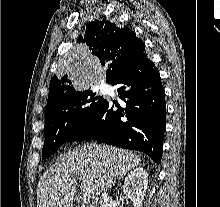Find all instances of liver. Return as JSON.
Instances as JSON below:
<instances>
[{
  "instance_id": "1",
  "label": "liver",
  "mask_w": 220,
  "mask_h": 207,
  "mask_svg": "<svg viewBox=\"0 0 220 207\" xmlns=\"http://www.w3.org/2000/svg\"><path fill=\"white\" fill-rule=\"evenodd\" d=\"M135 153L97 143L83 144L64 154L40 177L37 207H73L78 182L81 191L97 197L105 180L115 183L140 164Z\"/></svg>"
}]
</instances>
